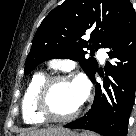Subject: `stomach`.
I'll list each match as a JSON object with an SVG mask.
<instances>
[{
	"mask_svg": "<svg viewBox=\"0 0 136 136\" xmlns=\"http://www.w3.org/2000/svg\"><path fill=\"white\" fill-rule=\"evenodd\" d=\"M55 136H81V135H79L78 133L74 131L67 130V131L60 132Z\"/></svg>",
	"mask_w": 136,
	"mask_h": 136,
	"instance_id": "obj_1",
	"label": "stomach"
}]
</instances>
